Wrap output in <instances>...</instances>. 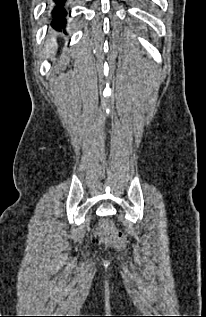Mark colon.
Returning a JSON list of instances; mask_svg holds the SVG:
<instances>
[{
	"instance_id": "obj_1",
	"label": "colon",
	"mask_w": 206,
	"mask_h": 317,
	"mask_svg": "<svg viewBox=\"0 0 206 317\" xmlns=\"http://www.w3.org/2000/svg\"><path fill=\"white\" fill-rule=\"evenodd\" d=\"M93 242L96 244H109L117 249L124 248L126 239L124 235L116 230L110 221H104L93 234Z\"/></svg>"
}]
</instances>
